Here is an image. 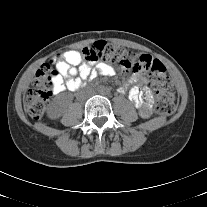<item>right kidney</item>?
<instances>
[{"instance_id": "1", "label": "right kidney", "mask_w": 207, "mask_h": 207, "mask_svg": "<svg viewBox=\"0 0 207 207\" xmlns=\"http://www.w3.org/2000/svg\"><path fill=\"white\" fill-rule=\"evenodd\" d=\"M63 115V108L56 102H53L48 109V117L57 119Z\"/></svg>"}]
</instances>
